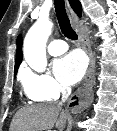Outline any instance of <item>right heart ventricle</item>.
I'll use <instances>...</instances> for the list:
<instances>
[{"mask_svg": "<svg viewBox=\"0 0 117 131\" xmlns=\"http://www.w3.org/2000/svg\"><path fill=\"white\" fill-rule=\"evenodd\" d=\"M27 96H28L29 99H31L32 101H35V102L43 101V100H41L39 98L31 97L29 95H27Z\"/></svg>", "mask_w": 117, "mask_h": 131, "instance_id": "obj_1", "label": "right heart ventricle"}]
</instances>
